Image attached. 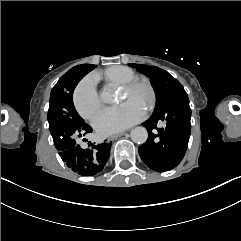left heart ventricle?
Masks as SVG:
<instances>
[{
  "instance_id": "left-heart-ventricle-1",
  "label": "left heart ventricle",
  "mask_w": 241,
  "mask_h": 241,
  "mask_svg": "<svg viewBox=\"0 0 241 241\" xmlns=\"http://www.w3.org/2000/svg\"><path fill=\"white\" fill-rule=\"evenodd\" d=\"M131 95L133 100L139 102L142 107H149L154 101V91L147 79L138 81Z\"/></svg>"
}]
</instances>
